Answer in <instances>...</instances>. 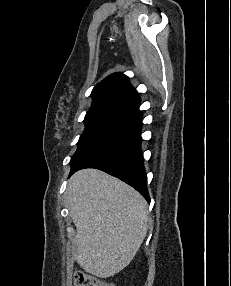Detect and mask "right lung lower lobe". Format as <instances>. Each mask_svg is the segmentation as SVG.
Listing matches in <instances>:
<instances>
[{
    "mask_svg": "<svg viewBox=\"0 0 231 286\" xmlns=\"http://www.w3.org/2000/svg\"><path fill=\"white\" fill-rule=\"evenodd\" d=\"M141 113L122 124L71 163L72 175L82 168H97L111 174L141 193L148 202L147 176L140 150Z\"/></svg>",
    "mask_w": 231,
    "mask_h": 286,
    "instance_id": "1",
    "label": "right lung lower lobe"
}]
</instances>
